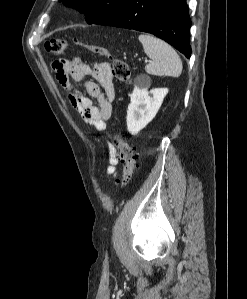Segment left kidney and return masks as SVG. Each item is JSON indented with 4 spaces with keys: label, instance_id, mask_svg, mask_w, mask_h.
<instances>
[{
    "label": "left kidney",
    "instance_id": "1",
    "mask_svg": "<svg viewBox=\"0 0 247 299\" xmlns=\"http://www.w3.org/2000/svg\"><path fill=\"white\" fill-rule=\"evenodd\" d=\"M167 93V88H156L149 92L143 88H134L130 95L131 102L126 117L127 129L130 134H138L153 120Z\"/></svg>",
    "mask_w": 247,
    "mask_h": 299
}]
</instances>
